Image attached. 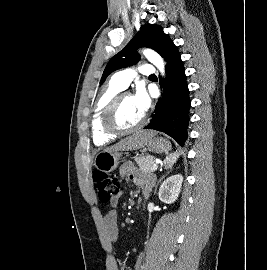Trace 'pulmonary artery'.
Masks as SVG:
<instances>
[{
    "instance_id": "obj_1",
    "label": "pulmonary artery",
    "mask_w": 267,
    "mask_h": 270,
    "mask_svg": "<svg viewBox=\"0 0 267 270\" xmlns=\"http://www.w3.org/2000/svg\"><path fill=\"white\" fill-rule=\"evenodd\" d=\"M138 73L142 75H153L155 73V69L150 64H143L138 68V70L127 68L116 72L112 76V80L122 89H125L129 86L131 81L137 76Z\"/></svg>"
}]
</instances>
